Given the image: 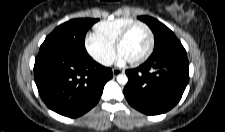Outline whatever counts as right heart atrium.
Returning a JSON list of instances; mask_svg holds the SVG:
<instances>
[{"instance_id":"obj_1","label":"right heart atrium","mask_w":225,"mask_h":132,"mask_svg":"<svg viewBox=\"0 0 225 132\" xmlns=\"http://www.w3.org/2000/svg\"><path fill=\"white\" fill-rule=\"evenodd\" d=\"M85 48L87 53L103 66L110 65L114 60V46L102 42L93 34L86 37Z\"/></svg>"}]
</instances>
